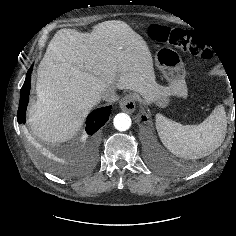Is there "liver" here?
Instances as JSON below:
<instances>
[{"instance_id":"6515ba94","label":"liver","mask_w":236,"mask_h":236,"mask_svg":"<svg viewBox=\"0 0 236 236\" xmlns=\"http://www.w3.org/2000/svg\"><path fill=\"white\" fill-rule=\"evenodd\" d=\"M37 74V100L28 110V123L47 142L70 139L106 91L148 95L159 88L147 43L120 20L99 23L90 33L59 30Z\"/></svg>"}]
</instances>
